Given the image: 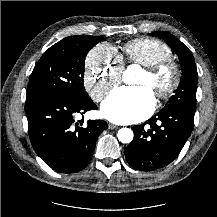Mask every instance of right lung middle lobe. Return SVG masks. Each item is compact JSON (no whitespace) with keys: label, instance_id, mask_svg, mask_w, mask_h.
I'll list each match as a JSON object with an SVG mask.
<instances>
[{"label":"right lung middle lobe","instance_id":"right-lung-middle-lobe-1","mask_svg":"<svg viewBox=\"0 0 217 217\" xmlns=\"http://www.w3.org/2000/svg\"><path fill=\"white\" fill-rule=\"evenodd\" d=\"M105 38L77 35L50 47L35 65L27 87L26 99L36 97L89 98L83 85L87 53Z\"/></svg>","mask_w":217,"mask_h":217}]
</instances>
